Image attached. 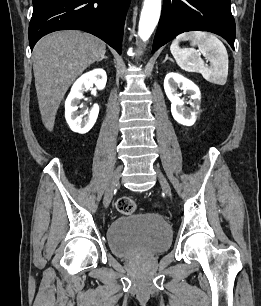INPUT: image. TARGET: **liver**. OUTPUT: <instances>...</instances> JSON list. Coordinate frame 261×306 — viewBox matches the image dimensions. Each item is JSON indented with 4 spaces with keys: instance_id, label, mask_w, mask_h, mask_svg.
<instances>
[{
    "instance_id": "6515ba94",
    "label": "liver",
    "mask_w": 261,
    "mask_h": 306,
    "mask_svg": "<svg viewBox=\"0 0 261 306\" xmlns=\"http://www.w3.org/2000/svg\"><path fill=\"white\" fill-rule=\"evenodd\" d=\"M105 52L103 41L78 30L58 31L37 42L33 71L39 110L47 130H53L57 110L70 85Z\"/></svg>"
}]
</instances>
